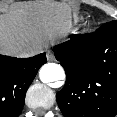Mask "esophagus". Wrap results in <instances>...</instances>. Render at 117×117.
<instances>
[{
  "mask_svg": "<svg viewBox=\"0 0 117 117\" xmlns=\"http://www.w3.org/2000/svg\"><path fill=\"white\" fill-rule=\"evenodd\" d=\"M46 57H47L48 61H54L55 60V57H54L53 53L50 52V51L47 52Z\"/></svg>",
  "mask_w": 117,
  "mask_h": 117,
  "instance_id": "esophagus-1",
  "label": "esophagus"
}]
</instances>
